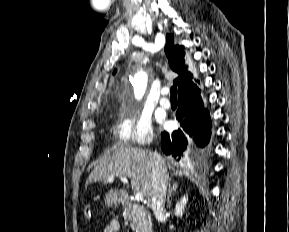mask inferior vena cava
Here are the masks:
<instances>
[{
    "label": "inferior vena cava",
    "instance_id": "obj_1",
    "mask_svg": "<svg viewBox=\"0 0 289 232\" xmlns=\"http://www.w3.org/2000/svg\"><path fill=\"white\" fill-rule=\"evenodd\" d=\"M153 160L151 208L155 215L161 214L164 209L168 173L162 163V157L157 152L151 154Z\"/></svg>",
    "mask_w": 289,
    "mask_h": 232
}]
</instances>
